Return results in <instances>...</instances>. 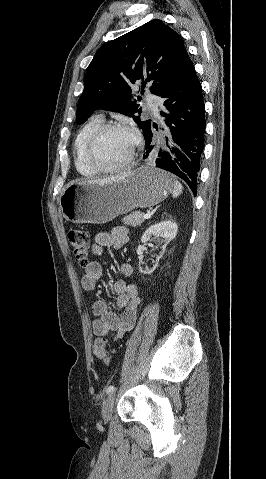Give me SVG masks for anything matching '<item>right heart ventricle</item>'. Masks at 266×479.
<instances>
[{"mask_svg":"<svg viewBox=\"0 0 266 479\" xmlns=\"http://www.w3.org/2000/svg\"><path fill=\"white\" fill-rule=\"evenodd\" d=\"M102 124L101 117H92L81 127L74 141L75 167L85 177H94L98 174L88 166L85 160V147L91 134Z\"/></svg>","mask_w":266,"mask_h":479,"instance_id":"obj_1","label":"right heart ventricle"}]
</instances>
